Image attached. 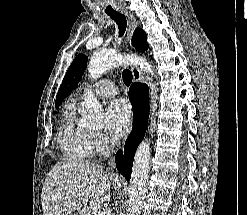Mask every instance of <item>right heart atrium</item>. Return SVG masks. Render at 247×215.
<instances>
[{
    "label": "right heart atrium",
    "instance_id": "1",
    "mask_svg": "<svg viewBox=\"0 0 247 215\" xmlns=\"http://www.w3.org/2000/svg\"><path fill=\"white\" fill-rule=\"evenodd\" d=\"M93 143H94L95 151L99 154H103L108 150L109 139L103 133H94Z\"/></svg>",
    "mask_w": 247,
    "mask_h": 215
}]
</instances>
